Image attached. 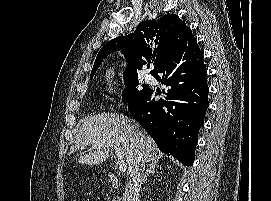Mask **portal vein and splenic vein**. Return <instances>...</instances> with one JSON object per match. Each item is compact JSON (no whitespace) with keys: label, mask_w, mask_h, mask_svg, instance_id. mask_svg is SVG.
<instances>
[{"label":"portal vein and splenic vein","mask_w":271,"mask_h":201,"mask_svg":"<svg viewBox=\"0 0 271 201\" xmlns=\"http://www.w3.org/2000/svg\"><path fill=\"white\" fill-rule=\"evenodd\" d=\"M98 148L102 147V145H97ZM115 154L117 157V164L119 166L120 172H125L127 169V163L123 160V155L119 150H115Z\"/></svg>","instance_id":"18ae733b"}]
</instances>
